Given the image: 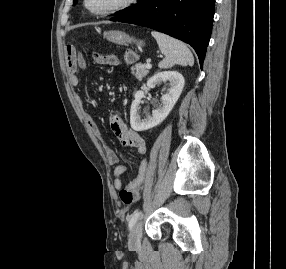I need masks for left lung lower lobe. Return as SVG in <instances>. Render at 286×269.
Masks as SVG:
<instances>
[{
	"instance_id": "0a47b994",
	"label": "left lung lower lobe",
	"mask_w": 286,
	"mask_h": 269,
	"mask_svg": "<svg viewBox=\"0 0 286 269\" xmlns=\"http://www.w3.org/2000/svg\"><path fill=\"white\" fill-rule=\"evenodd\" d=\"M214 8L215 0H149L141 10L112 21L148 27L188 43L196 51L202 67Z\"/></svg>"
}]
</instances>
